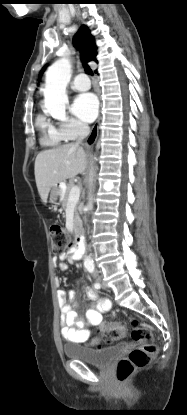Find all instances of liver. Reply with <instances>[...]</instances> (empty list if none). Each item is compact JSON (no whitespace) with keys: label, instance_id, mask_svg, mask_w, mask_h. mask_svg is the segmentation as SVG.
<instances>
[{"label":"liver","instance_id":"liver-1","mask_svg":"<svg viewBox=\"0 0 187 415\" xmlns=\"http://www.w3.org/2000/svg\"><path fill=\"white\" fill-rule=\"evenodd\" d=\"M87 154L77 144H65L40 152L35 159L34 173L41 200L47 203L51 188L68 178L84 173Z\"/></svg>","mask_w":187,"mask_h":415}]
</instances>
